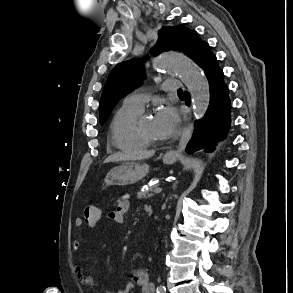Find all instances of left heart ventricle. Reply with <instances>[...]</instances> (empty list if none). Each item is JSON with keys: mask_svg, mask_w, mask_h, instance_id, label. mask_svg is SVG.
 Wrapping results in <instances>:
<instances>
[{"mask_svg": "<svg viewBox=\"0 0 293 293\" xmlns=\"http://www.w3.org/2000/svg\"><path fill=\"white\" fill-rule=\"evenodd\" d=\"M142 128L145 134L154 140H163L165 138L154 115H148L142 120Z\"/></svg>", "mask_w": 293, "mask_h": 293, "instance_id": "obj_1", "label": "left heart ventricle"}]
</instances>
